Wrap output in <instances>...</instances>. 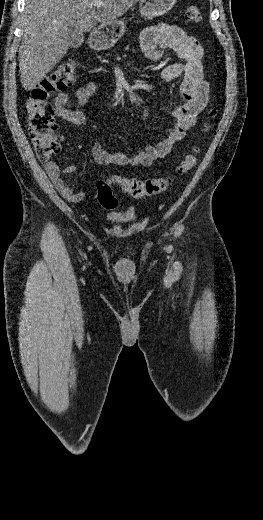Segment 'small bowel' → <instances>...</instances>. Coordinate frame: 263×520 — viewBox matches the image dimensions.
I'll return each instance as SVG.
<instances>
[{"label":"small bowel","instance_id":"obj_1","mask_svg":"<svg viewBox=\"0 0 263 520\" xmlns=\"http://www.w3.org/2000/svg\"><path fill=\"white\" fill-rule=\"evenodd\" d=\"M143 55L152 61L161 58L164 49L176 52L182 62L165 66L161 79L170 82L181 75V103L169 110L174 125L167 137L156 145H148L143 151L125 154L109 153L99 140L92 145V154L100 165L151 166L155 160L166 157L175 143L181 141L186 132L196 123L198 115L209 101V84L203 76V50L199 42L176 25L158 24L145 29L140 37ZM96 92V85L88 83L75 90L73 97L65 92L54 99L56 115L78 127L86 124L84 114L77 107L85 105ZM44 168L59 193L70 202H80L85 198L83 191L75 192L63 179L64 174H73L77 168L68 166L62 170L53 161L45 162Z\"/></svg>","mask_w":263,"mask_h":520}]
</instances>
